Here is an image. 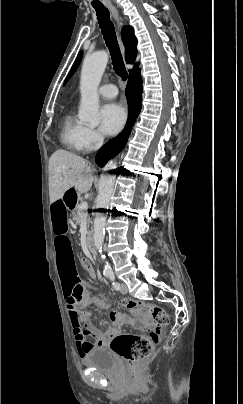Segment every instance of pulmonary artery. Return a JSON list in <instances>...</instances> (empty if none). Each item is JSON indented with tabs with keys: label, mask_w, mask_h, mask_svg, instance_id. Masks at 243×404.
Here are the masks:
<instances>
[{
	"label": "pulmonary artery",
	"mask_w": 243,
	"mask_h": 404,
	"mask_svg": "<svg viewBox=\"0 0 243 404\" xmlns=\"http://www.w3.org/2000/svg\"><path fill=\"white\" fill-rule=\"evenodd\" d=\"M99 56L102 58L101 59V64L104 65L107 59V54L106 52H101ZM99 93L104 96V97H115L117 95V87L113 84H106L103 85L99 88Z\"/></svg>",
	"instance_id": "1"
}]
</instances>
